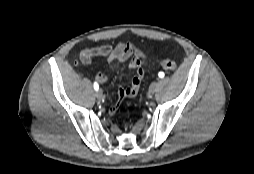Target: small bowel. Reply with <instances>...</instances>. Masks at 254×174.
Masks as SVG:
<instances>
[{
	"instance_id": "c3829d8e",
	"label": "small bowel",
	"mask_w": 254,
	"mask_h": 174,
	"mask_svg": "<svg viewBox=\"0 0 254 174\" xmlns=\"http://www.w3.org/2000/svg\"><path fill=\"white\" fill-rule=\"evenodd\" d=\"M96 56L107 57L109 64L116 66L121 63H127L128 66L135 70V74L131 79L130 85L119 88V97H134L138 94L142 79L144 77V65L146 63L145 53L127 41L119 42L113 46L104 44L98 47L88 48L81 52L80 61L83 64L90 63L91 59ZM96 80L99 83H105L107 75L99 72L96 75ZM117 110V105L109 108V114H114Z\"/></svg>"
}]
</instances>
